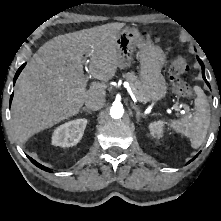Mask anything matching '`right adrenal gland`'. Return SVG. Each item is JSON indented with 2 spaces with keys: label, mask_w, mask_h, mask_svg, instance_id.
Wrapping results in <instances>:
<instances>
[{
  "label": "right adrenal gland",
  "mask_w": 221,
  "mask_h": 221,
  "mask_svg": "<svg viewBox=\"0 0 221 221\" xmlns=\"http://www.w3.org/2000/svg\"><path fill=\"white\" fill-rule=\"evenodd\" d=\"M83 111L86 112V113H88V114H92V111H90L88 108L83 107L82 110H81V113H82Z\"/></svg>",
  "instance_id": "2a0ac1e0"
}]
</instances>
